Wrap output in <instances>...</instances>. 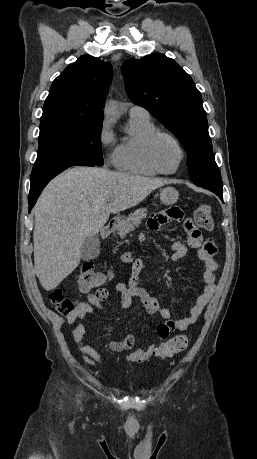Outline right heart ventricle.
I'll return each instance as SVG.
<instances>
[{
    "instance_id": "1",
    "label": "right heart ventricle",
    "mask_w": 257,
    "mask_h": 459,
    "mask_svg": "<svg viewBox=\"0 0 257 459\" xmlns=\"http://www.w3.org/2000/svg\"><path fill=\"white\" fill-rule=\"evenodd\" d=\"M156 130L149 116L130 115L129 133L114 151L113 161L117 169L136 175H157L159 172L149 164L145 154L146 141Z\"/></svg>"
}]
</instances>
